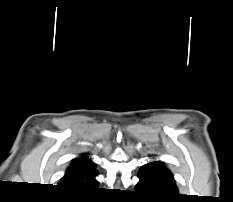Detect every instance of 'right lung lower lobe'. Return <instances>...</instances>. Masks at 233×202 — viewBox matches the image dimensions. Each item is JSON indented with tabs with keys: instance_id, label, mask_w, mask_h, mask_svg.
Returning a JSON list of instances; mask_svg holds the SVG:
<instances>
[{
	"instance_id": "obj_1",
	"label": "right lung lower lobe",
	"mask_w": 233,
	"mask_h": 202,
	"mask_svg": "<svg viewBox=\"0 0 233 202\" xmlns=\"http://www.w3.org/2000/svg\"><path fill=\"white\" fill-rule=\"evenodd\" d=\"M96 190H97V187H96V188H94V189H93V190H91V191H87V192H80V193L85 194V195H91V194H93Z\"/></svg>"
}]
</instances>
